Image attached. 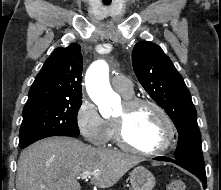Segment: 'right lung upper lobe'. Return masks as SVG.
Returning <instances> with one entry per match:
<instances>
[{"label": "right lung upper lobe", "instance_id": "cb5924a9", "mask_svg": "<svg viewBox=\"0 0 221 190\" xmlns=\"http://www.w3.org/2000/svg\"><path fill=\"white\" fill-rule=\"evenodd\" d=\"M82 54L80 45L56 48L33 82L25 105L82 99Z\"/></svg>", "mask_w": 221, "mask_h": 190}]
</instances>
